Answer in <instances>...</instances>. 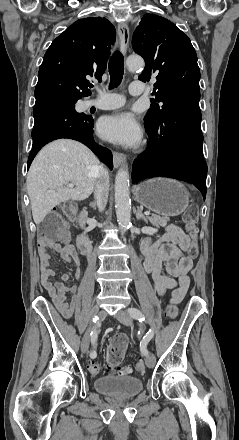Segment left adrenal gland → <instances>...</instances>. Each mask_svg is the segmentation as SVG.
I'll return each instance as SVG.
<instances>
[{
	"mask_svg": "<svg viewBox=\"0 0 239 440\" xmlns=\"http://www.w3.org/2000/svg\"><path fill=\"white\" fill-rule=\"evenodd\" d=\"M136 218H137V220H144V222H146V224H148V220H147L146 216H144V214H142V210H140V208H138V206H137Z\"/></svg>",
	"mask_w": 239,
	"mask_h": 440,
	"instance_id": "left-adrenal-gland-1",
	"label": "left adrenal gland"
}]
</instances>
